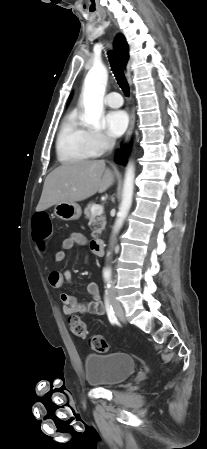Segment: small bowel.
Returning <instances> with one entry per match:
<instances>
[{
	"label": "small bowel",
	"instance_id": "c3829d8e",
	"mask_svg": "<svg viewBox=\"0 0 207 449\" xmlns=\"http://www.w3.org/2000/svg\"><path fill=\"white\" fill-rule=\"evenodd\" d=\"M87 242L85 236L78 232H73L62 241V250L54 255L56 263H62L65 260V251L70 250L78 245H85ZM72 273L70 270L57 271L54 270L49 274V283L56 290H62L65 283L72 284ZM87 293L90 301L80 302L74 295L67 292H60L59 298L63 303V312L66 315L76 313L90 314L93 316H102L105 313V307L100 299L99 288L96 282L87 284Z\"/></svg>",
	"mask_w": 207,
	"mask_h": 449
}]
</instances>
